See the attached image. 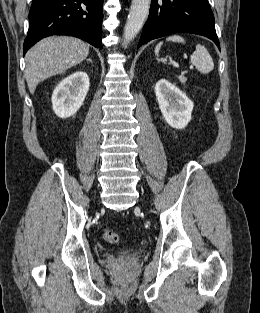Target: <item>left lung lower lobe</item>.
<instances>
[{"label": "left lung lower lobe", "mask_w": 260, "mask_h": 313, "mask_svg": "<svg viewBox=\"0 0 260 313\" xmlns=\"http://www.w3.org/2000/svg\"><path fill=\"white\" fill-rule=\"evenodd\" d=\"M181 32L205 36L220 49L208 0H152L137 47L155 38Z\"/></svg>", "instance_id": "obj_1"}]
</instances>
